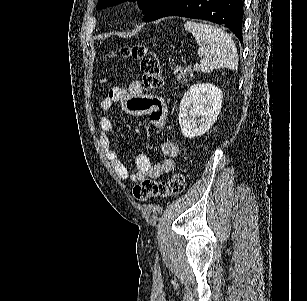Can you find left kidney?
Returning a JSON list of instances; mask_svg holds the SVG:
<instances>
[{
    "mask_svg": "<svg viewBox=\"0 0 307 301\" xmlns=\"http://www.w3.org/2000/svg\"><path fill=\"white\" fill-rule=\"evenodd\" d=\"M223 90L211 82L191 84L179 106L178 120L183 136L195 138L209 130L221 110Z\"/></svg>",
    "mask_w": 307,
    "mask_h": 301,
    "instance_id": "1",
    "label": "left kidney"
}]
</instances>
